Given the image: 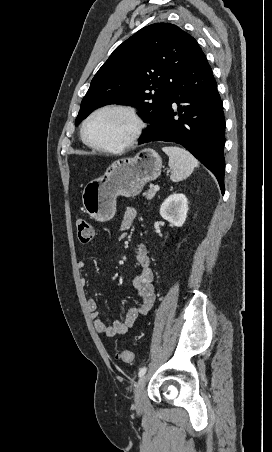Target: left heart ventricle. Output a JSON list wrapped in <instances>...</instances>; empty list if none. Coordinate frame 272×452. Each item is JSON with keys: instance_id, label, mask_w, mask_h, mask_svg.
Instances as JSON below:
<instances>
[{"instance_id": "obj_1", "label": "left heart ventricle", "mask_w": 272, "mask_h": 452, "mask_svg": "<svg viewBox=\"0 0 272 452\" xmlns=\"http://www.w3.org/2000/svg\"><path fill=\"white\" fill-rule=\"evenodd\" d=\"M132 130L133 122L128 115L119 111H105L91 119L87 136L98 144L118 146L128 139Z\"/></svg>"}]
</instances>
